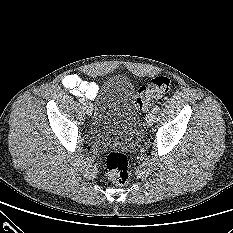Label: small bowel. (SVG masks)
Segmentation results:
<instances>
[{
	"label": "small bowel",
	"mask_w": 233,
	"mask_h": 233,
	"mask_svg": "<svg viewBox=\"0 0 233 233\" xmlns=\"http://www.w3.org/2000/svg\"><path fill=\"white\" fill-rule=\"evenodd\" d=\"M62 84L75 96H82L88 99H95L99 86L94 82H87L77 74H69L62 80Z\"/></svg>",
	"instance_id": "small-bowel-1"
}]
</instances>
